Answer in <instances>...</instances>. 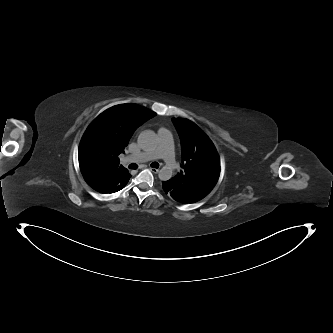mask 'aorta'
<instances>
[{"label": "aorta", "instance_id": "aorta-1", "mask_svg": "<svg viewBox=\"0 0 333 333\" xmlns=\"http://www.w3.org/2000/svg\"><path fill=\"white\" fill-rule=\"evenodd\" d=\"M157 143V136L152 130H144L138 136V144L143 150L154 149L157 146ZM158 176L160 180H169L172 176V171L167 167H163L158 172Z\"/></svg>", "mask_w": 333, "mask_h": 333}]
</instances>
